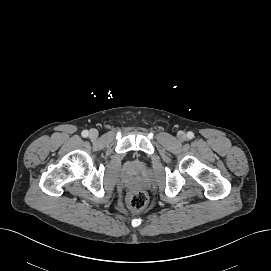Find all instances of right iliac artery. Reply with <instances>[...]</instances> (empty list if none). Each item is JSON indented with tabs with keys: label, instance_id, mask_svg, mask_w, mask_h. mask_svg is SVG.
Returning <instances> with one entry per match:
<instances>
[{
	"label": "right iliac artery",
	"instance_id": "1",
	"mask_svg": "<svg viewBox=\"0 0 271 271\" xmlns=\"http://www.w3.org/2000/svg\"><path fill=\"white\" fill-rule=\"evenodd\" d=\"M88 134H89V132H88L87 130H84V131L82 132V136H83V137H87Z\"/></svg>",
	"mask_w": 271,
	"mask_h": 271
}]
</instances>
